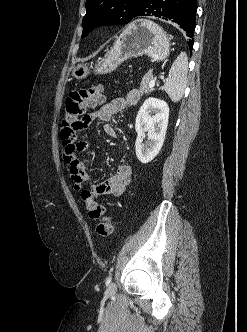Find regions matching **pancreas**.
<instances>
[{
	"mask_svg": "<svg viewBox=\"0 0 247 332\" xmlns=\"http://www.w3.org/2000/svg\"><path fill=\"white\" fill-rule=\"evenodd\" d=\"M153 79V75L151 72L146 73V75L142 78L140 89L138 93L140 95L148 94L152 91V89L149 88V82Z\"/></svg>",
	"mask_w": 247,
	"mask_h": 332,
	"instance_id": "pancreas-1",
	"label": "pancreas"
}]
</instances>
